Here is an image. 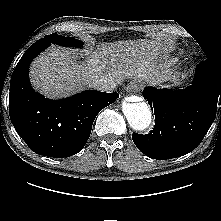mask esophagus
<instances>
[{"label":"esophagus","mask_w":221,"mask_h":221,"mask_svg":"<svg viewBox=\"0 0 221 221\" xmlns=\"http://www.w3.org/2000/svg\"><path fill=\"white\" fill-rule=\"evenodd\" d=\"M140 88H141V84L137 81H133L127 86L126 91L127 92H137L140 90Z\"/></svg>","instance_id":"obj_1"}]
</instances>
